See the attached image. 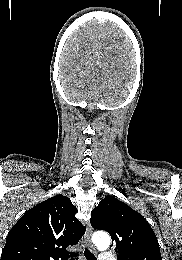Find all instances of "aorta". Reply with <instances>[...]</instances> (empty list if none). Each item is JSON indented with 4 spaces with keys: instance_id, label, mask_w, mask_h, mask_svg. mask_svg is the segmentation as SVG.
Listing matches in <instances>:
<instances>
[{
    "instance_id": "obj_1",
    "label": "aorta",
    "mask_w": 182,
    "mask_h": 260,
    "mask_svg": "<svg viewBox=\"0 0 182 260\" xmlns=\"http://www.w3.org/2000/svg\"><path fill=\"white\" fill-rule=\"evenodd\" d=\"M92 241L94 245L100 250H105L110 245V237L105 232L95 233L92 237Z\"/></svg>"
}]
</instances>
